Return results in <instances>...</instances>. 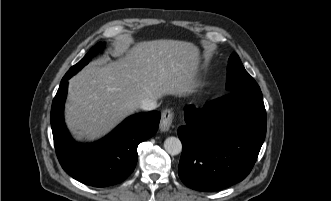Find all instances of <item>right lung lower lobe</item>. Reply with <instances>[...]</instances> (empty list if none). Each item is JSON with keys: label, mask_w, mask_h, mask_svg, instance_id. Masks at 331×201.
I'll list each match as a JSON object with an SVG mask.
<instances>
[{"label": "right lung lower lobe", "mask_w": 331, "mask_h": 201, "mask_svg": "<svg viewBox=\"0 0 331 201\" xmlns=\"http://www.w3.org/2000/svg\"><path fill=\"white\" fill-rule=\"evenodd\" d=\"M69 78L63 77L51 108L59 162L71 177L86 185L105 187L120 183L133 172L138 159L137 146L156 133L161 114L158 111L135 114L96 143H76L63 118Z\"/></svg>", "instance_id": "98d812e1"}]
</instances>
